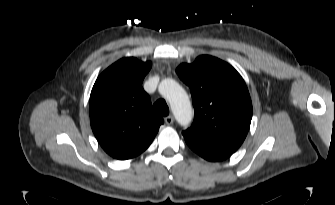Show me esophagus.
<instances>
[{
  "mask_svg": "<svg viewBox=\"0 0 335 205\" xmlns=\"http://www.w3.org/2000/svg\"><path fill=\"white\" fill-rule=\"evenodd\" d=\"M164 121L167 125H171L174 122V118H173L172 115H169V116L164 118Z\"/></svg>",
  "mask_w": 335,
  "mask_h": 205,
  "instance_id": "obj_1",
  "label": "esophagus"
}]
</instances>
